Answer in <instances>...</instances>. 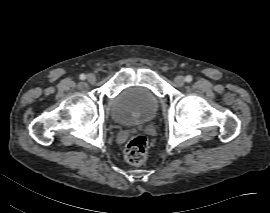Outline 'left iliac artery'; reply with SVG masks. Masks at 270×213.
<instances>
[{
	"label": "left iliac artery",
	"instance_id": "obj_1",
	"mask_svg": "<svg viewBox=\"0 0 270 213\" xmlns=\"http://www.w3.org/2000/svg\"><path fill=\"white\" fill-rule=\"evenodd\" d=\"M185 81L190 83L192 81V77L190 75L186 76Z\"/></svg>",
	"mask_w": 270,
	"mask_h": 213
}]
</instances>
